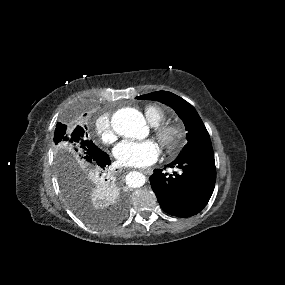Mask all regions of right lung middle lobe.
I'll return each mask as SVG.
<instances>
[{"mask_svg": "<svg viewBox=\"0 0 285 285\" xmlns=\"http://www.w3.org/2000/svg\"><path fill=\"white\" fill-rule=\"evenodd\" d=\"M54 141L59 144L57 173L60 186L71 209L82 220L96 227H107L118 221L119 215L108 222L91 207L95 185L101 184L104 177L97 165V159L103 151L88 138L85 129L80 126L67 130L65 125L58 123Z\"/></svg>", "mask_w": 285, "mask_h": 285, "instance_id": "right-lung-middle-lobe-1", "label": "right lung middle lobe"}]
</instances>
